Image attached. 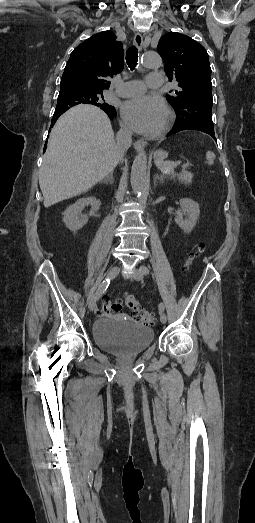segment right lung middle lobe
Returning a JSON list of instances; mask_svg holds the SVG:
<instances>
[{
  "instance_id": "dd1d6c3e",
  "label": "right lung middle lobe",
  "mask_w": 255,
  "mask_h": 523,
  "mask_svg": "<svg viewBox=\"0 0 255 523\" xmlns=\"http://www.w3.org/2000/svg\"><path fill=\"white\" fill-rule=\"evenodd\" d=\"M103 100V93L96 91L64 89L60 90L58 96V103L60 102H83L89 103L98 100Z\"/></svg>"
}]
</instances>
